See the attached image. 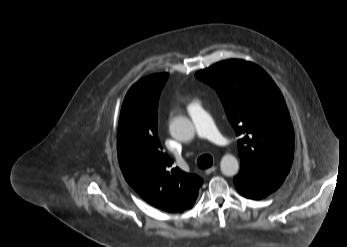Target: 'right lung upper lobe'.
I'll use <instances>...</instances> for the list:
<instances>
[{
    "mask_svg": "<svg viewBox=\"0 0 347 247\" xmlns=\"http://www.w3.org/2000/svg\"><path fill=\"white\" fill-rule=\"evenodd\" d=\"M167 74H154L128 91L120 113L117 155L127 182L147 202L167 212L193 206L203 181L172 168L157 135V107Z\"/></svg>",
    "mask_w": 347,
    "mask_h": 247,
    "instance_id": "obj_1",
    "label": "right lung upper lobe"
}]
</instances>
